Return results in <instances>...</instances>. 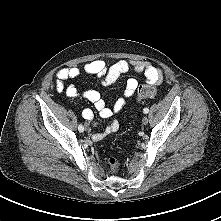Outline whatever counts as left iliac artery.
Wrapping results in <instances>:
<instances>
[{
	"instance_id": "1",
	"label": "left iliac artery",
	"mask_w": 221,
	"mask_h": 221,
	"mask_svg": "<svg viewBox=\"0 0 221 221\" xmlns=\"http://www.w3.org/2000/svg\"><path fill=\"white\" fill-rule=\"evenodd\" d=\"M143 112H144L145 114H147V113L149 112V109H148V108H144V109H143Z\"/></svg>"
}]
</instances>
